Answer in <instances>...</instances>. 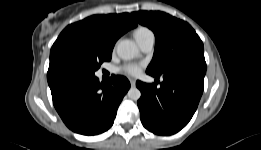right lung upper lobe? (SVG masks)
Listing matches in <instances>:
<instances>
[{
  "label": "right lung upper lobe",
  "mask_w": 261,
  "mask_h": 150,
  "mask_svg": "<svg viewBox=\"0 0 261 150\" xmlns=\"http://www.w3.org/2000/svg\"><path fill=\"white\" fill-rule=\"evenodd\" d=\"M137 26L129 13L93 15L82 21L68 25L59 35L56 43L73 34H88L104 45L114 47L115 42L128 30ZM53 44V45H54ZM48 84L51 86L59 81L47 73Z\"/></svg>",
  "instance_id": "1"
}]
</instances>
